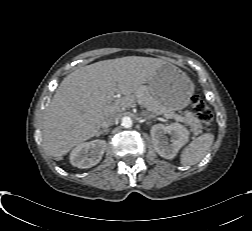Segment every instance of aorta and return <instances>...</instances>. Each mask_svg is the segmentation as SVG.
<instances>
[{
    "mask_svg": "<svg viewBox=\"0 0 252 231\" xmlns=\"http://www.w3.org/2000/svg\"><path fill=\"white\" fill-rule=\"evenodd\" d=\"M121 124L124 128H130L132 126V119L128 116L122 118Z\"/></svg>",
    "mask_w": 252,
    "mask_h": 231,
    "instance_id": "obj_1",
    "label": "aorta"
}]
</instances>
